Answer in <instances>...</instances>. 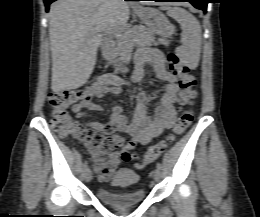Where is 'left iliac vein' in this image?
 Listing matches in <instances>:
<instances>
[{"mask_svg":"<svg viewBox=\"0 0 260 217\" xmlns=\"http://www.w3.org/2000/svg\"><path fill=\"white\" fill-rule=\"evenodd\" d=\"M153 178L156 182H159L160 179H161V171L160 169H155L154 172H153Z\"/></svg>","mask_w":260,"mask_h":217,"instance_id":"obj_1","label":"left iliac vein"}]
</instances>
